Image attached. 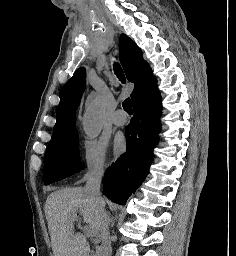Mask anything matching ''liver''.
Segmentation results:
<instances>
[{
  "label": "liver",
  "mask_w": 236,
  "mask_h": 256,
  "mask_svg": "<svg viewBox=\"0 0 236 256\" xmlns=\"http://www.w3.org/2000/svg\"><path fill=\"white\" fill-rule=\"evenodd\" d=\"M77 210L95 234L100 232L107 216L82 188H64L46 198L44 212L54 256H89V242L83 234L74 232L72 216Z\"/></svg>",
  "instance_id": "liver-1"
}]
</instances>
